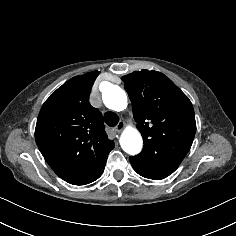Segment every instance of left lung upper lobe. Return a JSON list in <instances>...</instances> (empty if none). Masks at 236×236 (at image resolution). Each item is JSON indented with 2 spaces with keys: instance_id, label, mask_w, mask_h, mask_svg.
I'll return each instance as SVG.
<instances>
[{
  "instance_id": "1",
  "label": "left lung upper lobe",
  "mask_w": 236,
  "mask_h": 236,
  "mask_svg": "<svg viewBox=\"0 0 236 236\" xmlns=\"http://www.w3.org/2000/svg\"><path fill=\"white\" fill-rule=\"evenodd\" d=\"M144 147L136 157L179 165L192 145L196 121L188 97L163 73L143 69L122 77Z\"/></svg>"
}]
</instances>
